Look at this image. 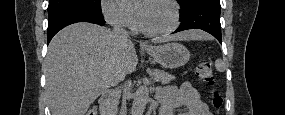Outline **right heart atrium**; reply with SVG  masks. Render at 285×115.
Segmentation results:
<instances>
[{
	"instance_id": "1",
	"label": "right heart atrium",
	"mask_w": 285,
	"mask_h": 115,
	"mask_svg": "<svg viewBox=\"0 0 285 115\" xmlns=\"http://www.w3.org/2000/svg\"><path fill=\"white\" fill-rule=\"evenodd\" d=\"M102 12L105 19L115 27L132 30L136 28L137 22L134 14L120 1H102Z\"/></svg>"
}]
</instances>
